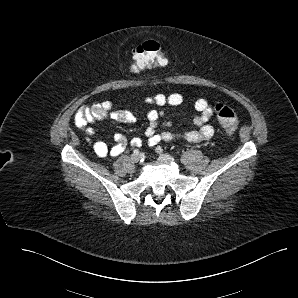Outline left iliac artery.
<instances>
[{
	"instance_id": "44dca946",
	"label": "left iliac artery",
	"mask_w": 298,
	"mask_h": 298,
	"mask_svg": "<svg viewBox=\"0 0 298 298\" xmlns=\"http://www.w3.org/2000/svg\"><path fill=\"white\" fill-rule=\"evenodd\" d=\"M156 151H157L158 153H162V152H163V149H162L160 146H157Z\"/></svg>"
}]
</instances>
